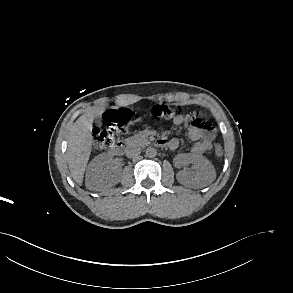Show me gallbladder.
<instances>
[{
	"label": "gallbladder",
	"instance_id": "obj_1",
	"mask_svg": "<svg viewBox=\"0 0 293 293\" xmlns=\"http://www.w3.org/2000/svg\"><path fill=\"white\" fill-rule=\"evenodd\" d=\"M96 123L100 126L101 125V119H100V117H97L96 118Z\"/></svg>",
	"mask_w": 293,
	"mask_h": 293
}]
</instances>
